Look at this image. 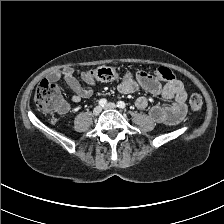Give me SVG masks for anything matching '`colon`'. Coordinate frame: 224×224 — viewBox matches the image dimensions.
Masks as SVG:
<instances>
[{
    "mask_svg": "<svg viewBox=\"0 0 224 224\" xmlns=\"http://www.w3.org/2000/svg\"><path fill=\"white\" fill-rule=\"evenodd\" d=\"M156 74L160 79L167 82L175 79L173 72L166 67H159ZM88 76L94 81L111 82L118 78L119 71L114 67L104 66L90 70ZM34 101L36 107L42 112L55 114L66 110L61 88L57 84L48 81H41L37 86ZM189 105L193 111H200L203 105L201 95L192 92L189 96Z\"/></svg>",
    "mask_w": 224,
    "mask_h": 224,
    "instance_id": "obj_1",
    "label": "colon"
}]
</instances>
